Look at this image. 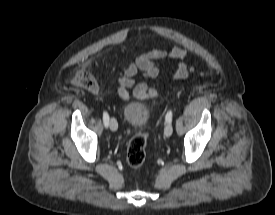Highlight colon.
<instances>
[{
    "label": "colon",
    "mask_w": 275,
    "mask_h": 215,
    "mask_svg": "<svg viewBox=\"0 0 275 215\" xmlns=\"http://www.w3.org/2000/svg\"><path fill=\"white\" fill-rule=\"evenodd\" d=\"M200 73L203 74V72ZM72 81L74 84L86 89L89 92H96L98 90V83L96 79L88 72H76ZM147 139V133L141 130L130 140L127 150V163L132 168H139L143 164L145 160Z\"/></svg>",
    "instance_id": "1"
}]
</instances>
